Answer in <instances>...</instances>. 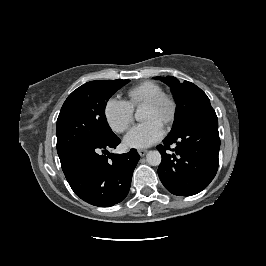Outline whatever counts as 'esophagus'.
Here are the masks:
<instances>
[{"instance_id":"obj_1","label":"esophagus","mask_w":266,"mask_h":266,"mask_svg":"<svg viewBox=\"0 0 266 266\" xmlns=\"http://www.w3.org/2000/svg\"><path fill=\"white\" fill-rule=\"evenodd\" d=\"M147 152H148V150H146V149H138V153L141 157L144 156Z\"/></svg>"}]
</instances>
